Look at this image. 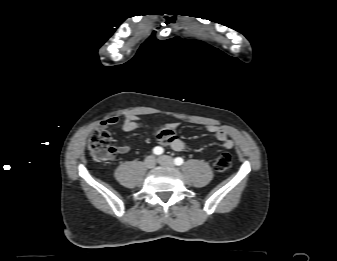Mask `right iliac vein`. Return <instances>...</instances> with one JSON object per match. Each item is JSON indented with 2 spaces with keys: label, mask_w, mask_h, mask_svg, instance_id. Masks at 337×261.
Instances as JSON below:
<instances>
[{
  "label": "right iliac vein",
  "mask_w": 337,
  "mask_h": 261,
  "mask_svg": "<svg viewBox=\"0 0 337 261\" xmlns=\"http://www.w3.org/2000/svg\"><path fill=\"white\" fill-rule=\"evenodd\" d=\"M144 163L147 168H153L156 165V158L153 155L148 156L146 157Z\"/></svg>",
  "instance_id": "right-iliac-vein-1"
}]
</instances>
